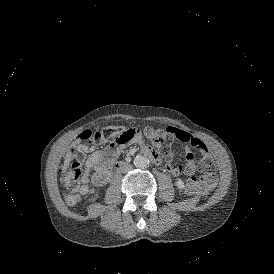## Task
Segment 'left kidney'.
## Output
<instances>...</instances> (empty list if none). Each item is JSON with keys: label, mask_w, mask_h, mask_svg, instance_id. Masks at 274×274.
Segmentation results:
<instances>
[{"label": "left kidney", "mask_w": 274, "mask_h": 274, "mask_svg": "<svg viewBox=\"0 0 274 274\" xmlns=\"http://www.w3.org/2000/svg\"><path fill=\"white\" fill-rule=\"evenodd\" d=\"M177 186L179 187V188H181V187H183V184L182 183H177Z\"/></svg>", "instance_id": "obj_1"}]
</instances>
